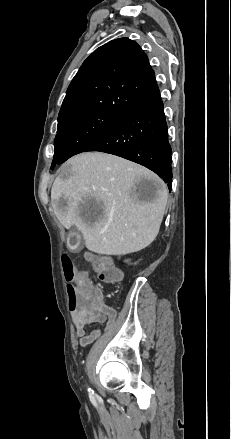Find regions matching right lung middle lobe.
<instances>
[{
  "label": "right lung middle lobe",
  "instance_id": "right-lung-middle-lobe-1",
  "mask_svg": "<svg viewBox=\"0 0 231 439\" xmlns=\"http://www.w3.org/2000/svg\"><path fill=\"white\" fill-rule=\"evenodd\" d=\"M122 117L107 111L91 110L58 118L51 169L84 152Z\"/></svg>",
  "mask_w": 231,
  "mask_h": 439
}]
</instances>
